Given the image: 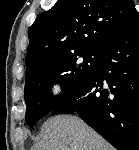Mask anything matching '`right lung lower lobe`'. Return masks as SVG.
Masks as SVG:
<instances>
[{"instance_id": "obj_1", "label": "right lung lower lobe", "mask_w": 139, "mask_h": 150, "mask_svg": "<svg viewBox=\"0 0 139 150\" xmlns=\"http://www.w3.org/2000/svg\"><path fill=\"white\" fill-rule=\"evenodd\" d=\"M53 109L78 114L117 150H139L137 11L103 45L93 73Z\"/></svg>"}]
</instances>
